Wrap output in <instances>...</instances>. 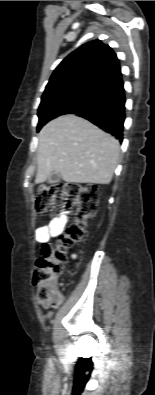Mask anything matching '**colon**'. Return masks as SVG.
Returning <instances> with one entry per match:
<instances>
[{"mask_svg":"<svg viewBox=\"0 0 155 395\" xmlns=\"http://www.w3.org/2000/svg\"><path fill=\"white\" fill-rule=\"evenodd\" d=\"M99 192L91 184L54 183L38 188L34 208L37 214L45 215L56 207H65L74 215V222L61 234L54 245L44 244L33 273L35 296L45 307L58 306L62 296L56 285L67 262V252L82 242L90 218L98 206Z\"/></svg>","mask_w":155,"mask_h":395,"instance_id":"obj_1","label":"colon"}]
</instances>
